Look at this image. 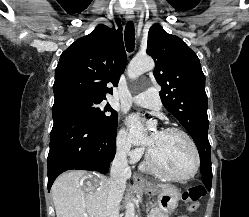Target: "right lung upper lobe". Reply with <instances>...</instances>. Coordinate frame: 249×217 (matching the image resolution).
<instances>
[{
    "label": "right lung upper lobe",
    "mask_w": 249,
    "mask_h": 217,
    "mask_svg": "<svg viewBox=\"0 0 249 217\" xmlns=\"http://www.w3.org/2000/svg\"><path fill=\"white\" fill-rule=\"evenodd\" d=\"M122 27L118 30L98 25L89 35L77 39L62 54L55 70L54 95L75 91L106 99L118 84L126 67Z\"/></svg>",
    "instance_id": "right-lung-upper-lobe-1"
}]
</instances>
